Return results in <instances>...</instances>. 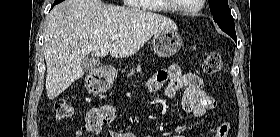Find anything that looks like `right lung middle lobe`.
<instances>
[{"instance_id":"obj_1","label":"right lung middle lobe","mask_w":280,"mask_h":137,"mask_svg":"<svg viewBox=\"0 0 280 137\" xmlns=\"http://www.w3.org/2000/svg\"><path fill=\"white\" fill-rule=\"evenodd\" d=\"M63 0H55V2L54 3H60V2H62Z\"/></svg>"}]
</instances>
